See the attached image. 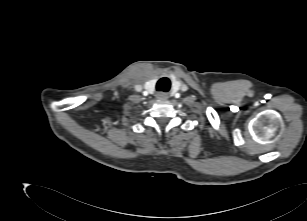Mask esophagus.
I'll return each instance as SVG.
<instances>
[{
    "instance_id": "obj_1",
    "label": "esophagus",
    "mask_w": 307,
    "mask_h": 221,
    "mask_svg": "<svg viewBox=\"0 0 307 221\" xmlns=\"http://www.w3.org/2000/svg\"><path fill=\"white\" fill-rule=\"evenodd\" d=\"M156 97L160 100H167L168 99V94L164 93V92H160L156 95Z\"/></svg>"
}]
</instances>
